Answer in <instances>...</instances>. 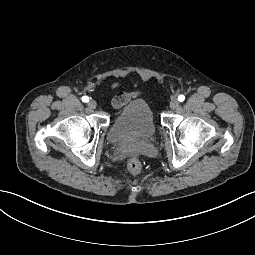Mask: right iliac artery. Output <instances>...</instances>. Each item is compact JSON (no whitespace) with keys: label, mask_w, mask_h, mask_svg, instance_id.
Listing matches in <instances>:
<instances>
[{"label":"right iliac artery","mask_w":255,"mask_h":255,"mask_svg":"<svg viewBox=\"0 0 255 255\" xmlns=\"http://www.w3.org/2000/svg\"><path fill=\"white\" fill-rule=\"evenodd\" d=\"M82 101H83V102H88V101H89V97L83 96V97H82Z\"/></svg>","instance_id":"1"}]
</instances>
